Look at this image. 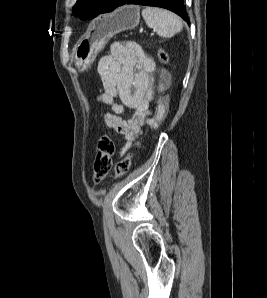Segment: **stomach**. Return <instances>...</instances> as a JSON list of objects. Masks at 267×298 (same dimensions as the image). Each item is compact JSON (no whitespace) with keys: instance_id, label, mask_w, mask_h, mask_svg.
<instances>
[{"instance_id":"stomach-1","label":"stomach","mask_w":267,"mask_h":298,"mask_svg":"<svg viewBox=\"0 0 267 298\" xmlns=\"http://www.w3.org/2000/svg\"><path fill=\"white\" fill-rule=\"evenodd\" d=\"M139 21L140 8L136 5H124L99 18L90 33L75 47L73 61L76 67L81 70L88 68L114 35L135 28Z\"/></svg>"}]
</instances>
